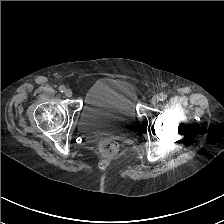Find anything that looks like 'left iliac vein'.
<instances>
[{"label":"left iliac vein","instance_id":"obj_1","mask_svg":"<svg viewBox=\"0 0 224 224\" xmlns=\"http://www.w3.org/2000/svg\"><path fill=\"white\" fill-rule=\"evenodd\" d=\"M158 101H159V97H157V96H154V97L152 98V100H151V102H152L153 104H157Z\"/></svg>","mask_w":224,"mask_h":224}]
</instances>
